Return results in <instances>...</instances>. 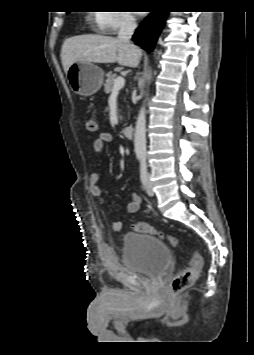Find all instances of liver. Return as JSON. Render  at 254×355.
<instances>
[{
  "label": "liver",
  "instance_id": "1",
  "mask_svg": "<svg viewBox=\"0 0 254 355\" xmlns=\"http://www.w3.org/2000/svg\"><path fill=\"white\" fill-rule=\"evenodd\" d=\"M141 50L118 38L89 34L68 38L61 49L62 66L67 73L75 62L114 63L121 66L136 67L141 58Z\"/></svg>",
  "mask_w": 254,
  "mask_h": 355
}]
</instances>
